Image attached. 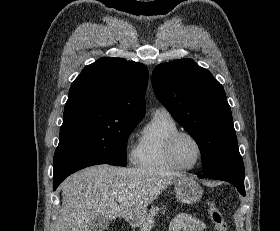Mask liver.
Masks as SVG:
<instances>
[{
  "label": "liver",
  "mask_w": 280,
  "mask_h": 231,
  "mask_svg": "<svg viewBox=\"0 0 280 231\" xmlns=\"http://www.w3.org/2000/svg\"><path fill=\"white\" fill-rule=\"evenodd\" d=\"M177 171H153L146 167L92 165L63 181L62 209L55 231H88L97 217H134L144 221L146 207L168 187ZM123 199V201H119Z\"/></svg>",
  "instance_id": "1"
}]
</instances>
